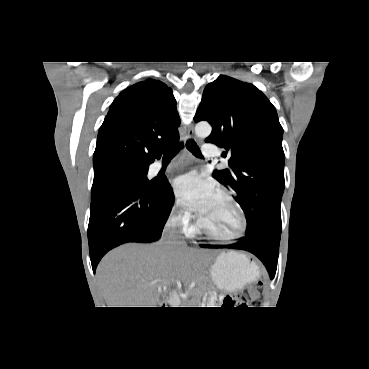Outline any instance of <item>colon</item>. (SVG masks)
Instances as JSON below:
<instances>
[{
	"instance_id": "1",
	"label": "colon",
	"mask_w": 369,
	"mask_h": 369,
	"mask_svg": "<svg viewBox=\"0 0 369 369\" xmlns=\"http://www.w3.org/2000/svg\"><path fill=\"white\" fill-rule=\"evenodd\" d=\"M264 287L262 283L252 285L237 295L212 296V302L218 301L222 307L257 306L263 299Z\"/></svg>"
}]
</instances>
